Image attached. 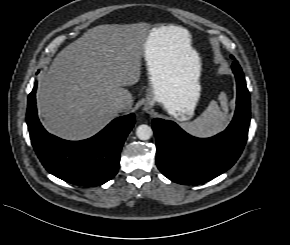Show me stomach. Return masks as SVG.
<instances>
[{"label":"stomach","mask_w":290,"mask_h":245,"mask_svg":"<svg viewBox=\"0 0 290 245\" xmlns=\"http://www.w3.org/2000/svg\"><path fill=\"white\" fill-rule=\"evenodd\" d=\"M158 29L149 34L143 49L150 87L147 102L161 103L177 121L186 122L192 118L200 97V74L174 76L171 73L162 50L158 49Z\"/></svg>","instance_id":"stomach-1"}]
</instances>
